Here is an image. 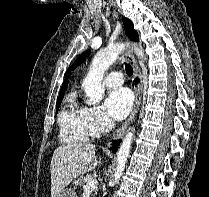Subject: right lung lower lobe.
Returning <instances> with one entry per match:
<instances>
[{
    "label": "right lung lower lobe",
    "instance_id": "obj_1",
    "mask_svg": "<svg viewBox=\"0 0 209 197\" xmlns=\"http://www.w3.org/2000/svg\"><path fill=\"white\" fill-rule=\"evenodd\" d=\"M136 82H138V80H135ZM121 140H115V141H113V143H112V152H116L117 151V149H118V145H119V142H120Z\"/></svg>",
    "mask_w": 209,
    "mask_h": 197
}]
</instances>
